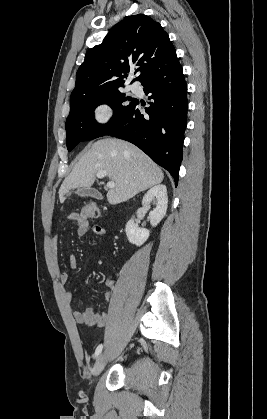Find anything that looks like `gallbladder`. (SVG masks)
I'll use <instances>...</instances> for the list:
<instances>
[{"instance_id": "1", "label": "gallbladder", "mask_w": 267, "mask_h": 419, "mask_svg": "<svg viewBox=\"0 0 267 419\" xmlns=\"http://www.w3.org/2000/svg\"><path fill=\"white\" fill-rule=\"evenodd\" d=\"M78 196L85 197V196H95L97 198H102V195L98 193L95 189L90 188H79L75 192Z\"/></svg>"}]
</instances>
